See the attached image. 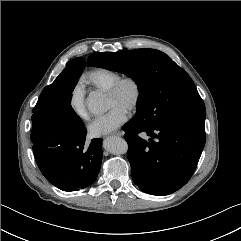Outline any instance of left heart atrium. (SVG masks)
Masks as SVG:
<instances>
[{
    "label": "left heart atrium",
    "instance_id": "obj_1",
    "mask_svg": "<svg viewBox=\"0 0 241 241\" xmlns=\"http://www.w3.org/2000/svg\"><path fill=\"white\" fill-rule=\"evenodd\" d=\"M127 120V110L114 106L110 111L94 120L88 130L91 137H100L110 134L122 126Z\"/></svg>",
    "mask_w": 241,
    "mask_h": 241
}]
</instances>
